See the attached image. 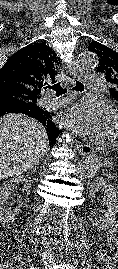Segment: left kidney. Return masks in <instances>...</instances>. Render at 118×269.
I'll return each mask as SVG.
<instances>
[{
    "mask_svg": "<svg viewBox=\"0 0 118 269\" xmlns=\"http://www.w3.org/2000/svg\"><path fill=\"white\" fill-rule=\"evenodd\" d=\"M101 190L105 197L107 209L103 216L91 218L92 225L98 230H106L111 226L118 214V187L107 183L103 178H97L91 185L89 194L95 197L96 192Z\"/></svg>",
    "mask_w": 118,
    "mask_h": 269,
    "instance_id": "obj_1",
    "label": "left kidney"
}]
</instances>
